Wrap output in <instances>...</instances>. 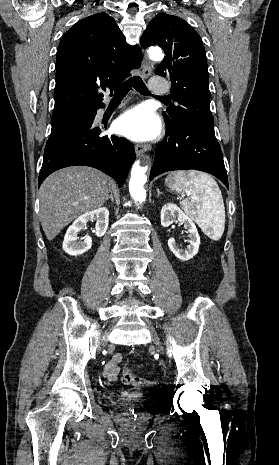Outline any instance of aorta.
<instances>
[{
  "label": "aorta",
  "instance_id": "aorta-1",
  "mask_svg": "<svg viewBox=\"0 0 279 465\" xmlns=\"http://www.w3.org/2000/svg\"><path fill=\"white\" fill-rule=\"evenodd\" d=\"M149 57L150 59L157 61L162 59L163 54L160 49H152L149 51ZM146 172L147 166H141L140 161H136L133 164L131 178L129 181V192L131 197L139 203L144 202L146 199V191L144 189V185L147 180Z\"/></svg>",
  "mask_w": 279,
  "mask_h": 465
}]
</instances>
